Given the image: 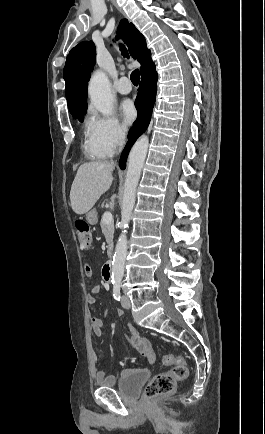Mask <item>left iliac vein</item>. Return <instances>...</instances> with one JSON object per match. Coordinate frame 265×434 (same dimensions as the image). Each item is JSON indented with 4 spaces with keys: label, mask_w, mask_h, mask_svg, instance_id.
Returning a JSON list of instances; mask_svg holds the SVG:
<instances>
[{
    "label": "left iliac vein",
    "mask_w": 265,
    "mask_h": 434,
    "mask_svg": "<svg viewBox=\"0 0 265 434\" xmlns=\"http://www.w3.org/2000/svg\"><path fill=\"white\" fill-rule=\"evenodd\" d=\"M121 305L125 309H129L131 307V302H130L129 298L126 295H123L121 297Z\"/></svg>",
    "instance_id": "left-iliac-vein-1"
}]
</instances>
